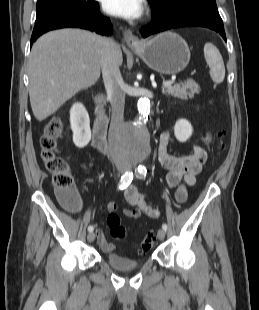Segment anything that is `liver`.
I'll return each instance as SVG.
<instances>
[{"mask_svg":"<svg viewBox=\"0 0 259 310\" xmlns=\"http://www.w3.org/2000/svg\"><path fill=\"white\" fill-rule=\"evenodd\" d=\"M105 38L80 29H60L40 37L32 47L29 63V96L33 114L43 121L77 92L100 77ZM118 65L122 51H115Z\"/></svg>","mask_w":259,"mask_h":310,"instance_id":"obj_1","label":"liver"}]
</instances>
